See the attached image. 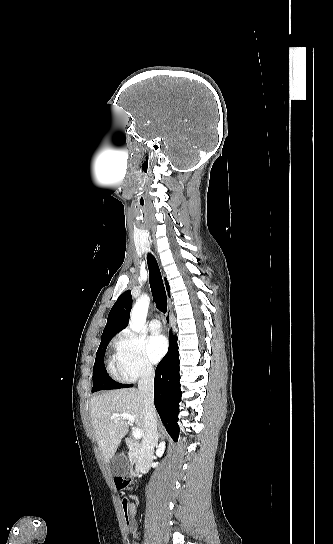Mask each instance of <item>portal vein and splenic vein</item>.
<instances>
[{
    "label": "portal vein and splenic vein",
    "instance_id": "18ae733b",
    "mask_svg": "<svg viewBox=\"0 0 333 544\" xmlns=\"http://www.w3.org/2000/svg\"><path fill=\"white\" fill-rule=\"evenodd\" d=\"M118 417H121V418H124V419H127L130 423H134L135 419H134V416L131 415V414H128V413H113L111 415V420H114ZM132 435L135 439H141L142 436H143V432L141 429H138V428H134L133 431H132Z\"/></svg>",
    "mask_w": 333,
    "mask_h": 544
}]
</instances>
